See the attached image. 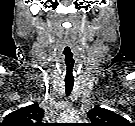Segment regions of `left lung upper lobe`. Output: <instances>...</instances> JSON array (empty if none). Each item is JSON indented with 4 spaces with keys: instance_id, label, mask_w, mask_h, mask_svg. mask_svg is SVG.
<instances>
[{
    "instance_id": "1",
    "label": "left lung upper lobe",
    "mask_w": 135,
    "mask_h": 126,
    "mask_svg": "<svg viewBox=\"0 0 135 126\" xmlns=\"http://www.w3.org/2000/svg\"><path fill=\"white\" fill-rule=\"evenodd\" d=\"M87 116L91 120L92 126H123L127 121L122 116L99 106L91 109Z\"/></svg>"
}]
</instances>
